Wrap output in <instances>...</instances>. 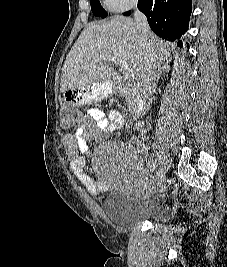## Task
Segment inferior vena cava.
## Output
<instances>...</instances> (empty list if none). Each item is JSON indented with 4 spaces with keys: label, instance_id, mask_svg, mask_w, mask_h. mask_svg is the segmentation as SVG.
Here are the masks:
<instances>
[{
    "label": "inferior vena cava",
    "instance_id": "obj_1",
    "mask_svg": "<svg viewBox=\"0 0 227 267\" xmlns=\"http://www.w3.org/2000/svg\"><path fill=\"white\" fill-rule=\"evenodd\" d=\"M134 20L138 33L144 43H147L151 33L146 16L140 12L136 7L134 11ZM157 62L153 54H150L147 59L142 73L139 85L145 97H149L155 92L157 81Z\"/></svg>",
    "mask_w": 227,
    "mask_h": 267
}]
</instances>
